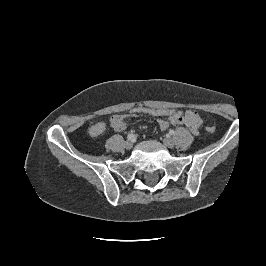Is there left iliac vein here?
I'll return each instance as SVG.
<instances>
[{
  "mask_svg": "<svg viewBox=\"0 0 266 266\" xmlns=\"http://www.w3.org/2000/svg\"><path fill=\"white\" fill-rule=\"evenodd\" d=\"M163 143L168 147V148H173L175 146V141L170 138V137H165L163 139Z\"/></svg>",
  "mask_w": 266,
  "mask_h": 266,
  "instance_id": "left-iliac-vein-1",
  "label": "left iliac vein"
}]
</instances>
